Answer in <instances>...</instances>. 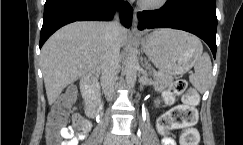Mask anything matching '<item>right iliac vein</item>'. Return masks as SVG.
Returning <instances> with one entry per match:
<instances>
[{"mask_svg":"<svg viewBox=\"0 0 243 145\" xmlns=\"http://www.w3.org/2000/svg\"><path fill=\"white\" fill-rule=\"evenodd\" d=\"M104 145H114V137L110 134H107L104 138Z\"/></svg>","mask_w":243,"mask_h":145,"instance_id":"obj_1","label":"right iliac vein"}]
</instances>
